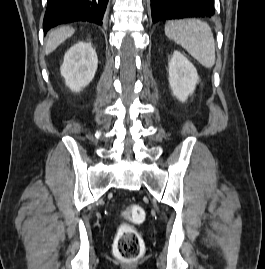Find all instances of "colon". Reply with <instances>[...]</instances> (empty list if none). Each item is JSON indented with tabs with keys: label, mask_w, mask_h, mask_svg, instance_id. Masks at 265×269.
<instances>
[{
	"label": "colon",
	"mask_w": 265,
	"mask_h": 269,
	"mask_svg": "<svg viewBox=\"0 0 265 269\" xmlns=\"http://www.w3.org/2000/svg\"><path fill=\"white\" fill-rule=\"evenodd\" d=\"M126 216L133 223H141L145 218V213L140 205L132 204L127 207ZM114 248L119 258L135 261L142 254L143 244L137 230L129 224H123L118 230Z\"/></svg>",
	"instance_id": "1"
}]
</instances>
